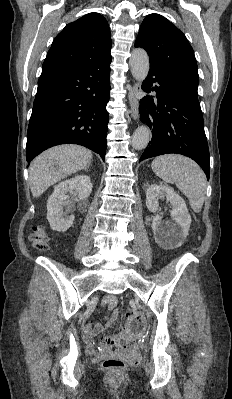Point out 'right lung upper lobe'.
I'll return each mask as SVG.
<instances>
[{
	"mask_svg": "<svg viewBox=\"0 0 232 399\" xmlns=\"http://www.w3.org/2000/svg\"><path fill=\"white\" fill-rule=\"evenodd\" d=\"M107 20L89 13L69 23L56 36L43 63L46 67H74L111 59Z\"/></svg>",
	"mask_w": 232,
	"mask_h": 399,
	"instance_id": "cb5924a9",
	"label": "right lung upper lobe"
}]
</instances>
